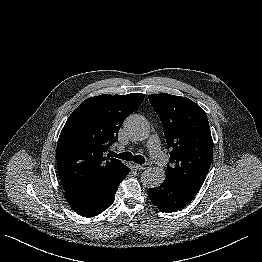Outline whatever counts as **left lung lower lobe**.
Listing matches in <instances>:
<instances>
[{
	"instance_id": "obj_1",
	"label": "left lung lower lobe",
	"mask_w": 262,
	"mask_h": 262,
	"mask_svg": "<svg viewBox=\"0 0 262 262\" xmlns=\"http://www.w3.org/2000/svg\"><path fill=\"white\" fill-rule=\"evenodd\" d=\"M198 189L165 178L157 188L148 189L150 200L163 212H174L188 205Z\"/></svg>"
}]
</instances>
